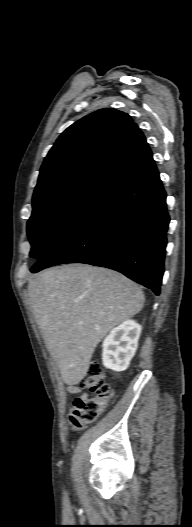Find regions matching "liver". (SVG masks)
<instances>
[{"label": "liver", "mask_w": 192, "mask_h": 527, "mask_svg": "<svg viewBox=\"0 0 192 527\" xmlns=\"http://www.w3.org/2000/svg\"><path fill=\"white\" fill-rule=\"evenodd\" d=\"M29 302L45 344L67 385L86 376L98 343L139 313L144 294L124 275L101 267L66 265L28 283Z\"/></svg>", "instance_id": "obj_1"}]
</instances>
